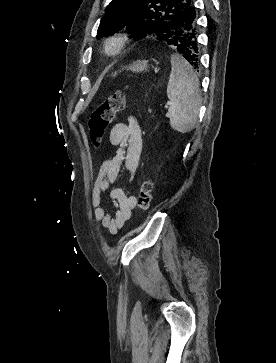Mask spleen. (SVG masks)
Wrapping results in <instances>:
<instances>
[{"label":"spleen","instance_id":"obj_1","mask_svg":"<svg viewBox=\"0 0 276 363\" xmlns=\"http://www.w3.org/2000/svg\"><path fill=\"white\" fill-rule=\"evenodd\" d=\"M199 79L179 54L171 55V73L167 85L170 100L168 118L172 129L188 133L194 129L201 106Z\"/></svg>","mask_w":276,"mask_h":363}]
</instances>
